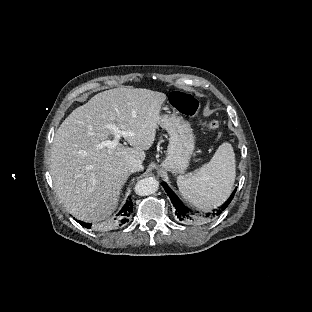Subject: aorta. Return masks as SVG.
Wrapping results in <instances>:
<instances>
[{"label":"aorta","mask_w":312,"mask_h":312,"mask_svg":"<svg viewBox=\"0 0 312 312\" xmlns=\"http://www.w3.org/2000/svg\"><path fill=\"white\" fill-rule=\"evenodd\" d=\"M133 190L137 196L152 195L158 190V182L153 178H144L135 184Z\"/></svg>","instance_id":"1"}]
</instances>
